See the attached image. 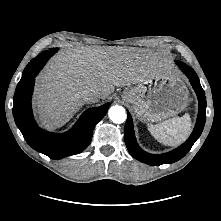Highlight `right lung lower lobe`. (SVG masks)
Segmentation results:
<instances>
[{
	"mask_svg": "<svg viewBox=\"0 0 221 221\" xmlns=\"http://www.w3.org/2000/svg\"><path fill=\"white\" fill-rule=\"evenodd\" d=\"M57 50L52 48L44 51L28 63L16 87L13 105L16 125L26 142L51 159H61L82 152L91 141L95 125L105 116L110 106V103H106L86 110L73 128L64 134L47 132L38 127L31 109L34 78Z\"/></svg>",
	"mask_w": 221,
	"mask_h": 221,
	"instance_id": "1",
	"label": "right lung lower lobe"
}]
</instances>
